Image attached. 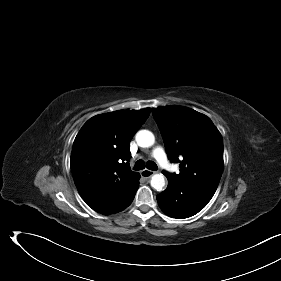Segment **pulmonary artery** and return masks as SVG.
<instances>
[{
    "label": "pulmonary artery",
    "instance_id": "e3ab8cb5",
    "mask_svg": "<svg viewBox=\"0 0 281 281\" xmlns=\"http://www.w3.org/2000/svg\"><path fill=\"white\" fill-rule=\"evenodd\" d=\"M152 156L164 169L171 170V164L169 163L168 158L161 147H156L152 152Z\"/></svg>",
    "mask_w": 281,
    "mask_h": 281
}]
</instances>
